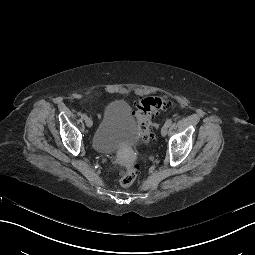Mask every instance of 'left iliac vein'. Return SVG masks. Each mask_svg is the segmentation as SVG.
<instances>
[{
	"mask_svg": "<svg viewBox=\"0 0 255 255\" xmlns=\"http://www.w3.org/2000/svg\"><path fill=\"white\" fill-rule=\"evenodd\" d=\"M167 130H168V127H167L166 125H164V126L161 128V135H162L163 137L166 136Z\"/></svg>",
	"mask_w": 255,
	"mask_h": 255,
	"instance_id": "left-iliac-vein-1",
	"label": "left iliac vein"
}]
</instances>
